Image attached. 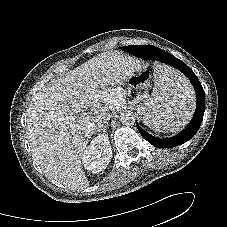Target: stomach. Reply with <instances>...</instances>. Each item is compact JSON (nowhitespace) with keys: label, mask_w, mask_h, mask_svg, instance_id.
<instances>
[{"label":"stomach","mask_w":227,"mask_h":227,"mask_svg":"<svg viewBox=\"0 0 227 227\" xmlns=\"http://www.w3.org/2000/svg\"><path fill=\"white\" fill-rule=\"evenodd\" d=\"M110 92L115 93L116 95H120L122 93L121 89L117 86L110 88Z\"/></svg>","instance_id":"1"}]
</instances>
